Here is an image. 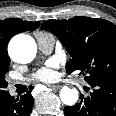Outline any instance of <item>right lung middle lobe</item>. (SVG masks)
<instances>
[{
    "instance_id": "dd1d6c3e",
    "label": "right lung middle lobe",
    "mask_w": 116,
    "mask_h": 116,
    "mask_svg": "<svg viewBox=\"0 0 116 116\" xmlns=\"http://www.w3.org/2000/svg\"><path fill=\"white\" fill-rule=\"evenodd\" d=\"M9 65L10 62H7L5 65L0 66V98L7 94L5 88L8 86V83L5 80V75L9 71Z\"/></svg>"
}]
</instances>
